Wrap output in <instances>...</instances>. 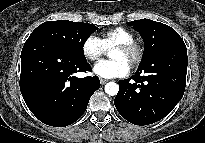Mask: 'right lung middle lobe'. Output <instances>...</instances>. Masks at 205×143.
<instances>
[{"label": "right lung middle lobe", "instance_id": "obj_1", "mask_svg": "<svg viewBox=\"0 0 205 143\" xmlns=\"http://www.w3.org/2000/svg\"><path fill=\"white\" fill-rule=\"evenodd\" d=\"M98 28L93 24L68 20L47 21L39 25L30 37H39L61 46L70 54L85 59L83 46Z\"/></svg>", "mask_w": 205, "mask_h": 143}]
</instances>
